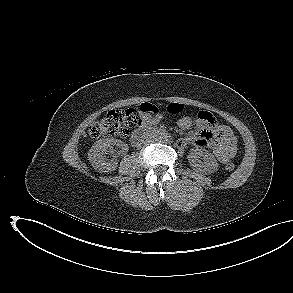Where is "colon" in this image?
I'll return each mask as SVG.
<instances>
[{
	"label": "colon",
	"instance_id": "5ec220e1",
	"mask_svg": "<svg viewBox=\"0 0 293 293\" xmlns=\"http://www.w3.org/2000/svg\"><path fill=\"white\" fill-rule=\"evenodd\" d=\"M170 114H180L184 107L181 104L172 103L167 108ZM199 116L207 121L215 118L212 114L199 112ZM142 122V113L138 109H114L102 115L89 129V135L92 138H104L111 136L125 137L129 132L138 127ZM235 168L233 163H227L225 169L233 171Z\"/></svg>",
	"mask_w": 293,
	"mask_h": 293
}]
</instances>
